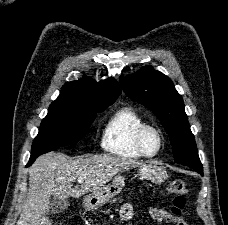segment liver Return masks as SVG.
I'll return each mask as SVG.
<instances>
[{
    "label": "liver",
    "mask_w": 228,
    "mask_h": 225,
    "mask_svg": "<svg viewBox=\"0 0 228 225\" xmlns=\"http://www.w3.org/2000/svg\"><path fill=\"white\" fill-rule=\"evenodd\" d=\"M139 165L126 157L112 155H88V159L72 161L63 153H46L29 169L28 197L17 225H52L46 217L51 209V195L58 199H79L102 189L120 171ZM74 179L80 181L72 189Z\"/></svg>",
    "instance_id": "1"
}]
</instances>
